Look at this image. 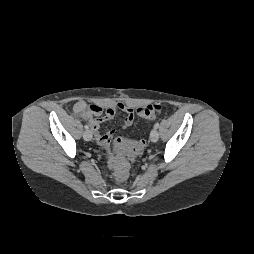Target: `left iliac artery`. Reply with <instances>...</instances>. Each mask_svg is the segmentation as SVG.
I'll return each mask as SVG.
<instances>
[{
	"instance_id": "1",
	"label": "left iliac artery",
	"mask_w": 254,
	"mask_h": 254,
	"mask_svg": "<svg viewBox=\"0 0 254 254\" xmlns=\"http://www.w3.org/2000/svg\"><path fill=\"white\" fill-rule=\"evenodd\" d=\"M154 128H155V129H158V128H159V123H158V122L155 123Z\"/></svg>"
}]
</instances>
